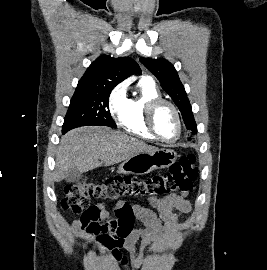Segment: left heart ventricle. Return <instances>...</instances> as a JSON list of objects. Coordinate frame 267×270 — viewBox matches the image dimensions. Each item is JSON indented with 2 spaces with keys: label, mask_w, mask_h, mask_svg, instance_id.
Wrapping results in <instances>:
<instances>
[{
  "label": "left heart ventricle",
  "mask_w": 267,
  "mask_h": 270,
  "mask_svg": "<svg viewBox=\"0 0 267 270\" xmlns=\"http://www.w3.org/2000/svg\"><path fill=\"white\" fill-rule=\"evenodd\" d=\"M155 127L159 135L164 139L173 140L177 136V119L169 106L163 105L156 111Z\"/></svg>",
  "instance_id": "obj_1"
}]
</instances>
